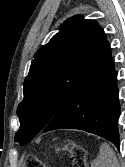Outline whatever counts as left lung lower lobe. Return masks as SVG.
<instances>
[{"instance_id":"obj_1","label":"left lung lower lobe","mask_w":125,"mask_h":167,"mask_svg":"<svg viewBox=\"0 0 125 167\" xmlns=\"http://www.w3.org/2000/svg\"><path fill=\"white\" fill-rule=\"evenodd\" d=\"M117 71L111 58L109 42L103 44L89 75L57 111L43 129H79L111 141L118 149Z\"/></svg>"}]
</instances>
